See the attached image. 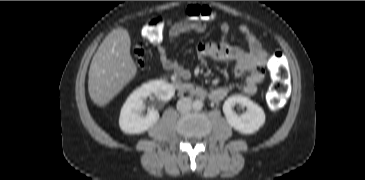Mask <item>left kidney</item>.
Wrapping results in <instances>:
<instances>
[{"mask_svg": "<svg viewBox=\"0 0 365 180\" xmlns=\"http://www.w3.org/2000/svg\"><path fill=\"white\" fill-rule=\"evenodd\" d=\"M236 104L246 107L247 111L241 115L236 114L233 110ZM223 112L227 122L235 130L243 134L255 133L265 123V113L263 109L249 98L242 95L229 97L223 105Z\"/></svg>", "mask_w": 365, "mask_h": 180, "instance_id": "obj_1", "label": "left kidney"}]
</instances>
